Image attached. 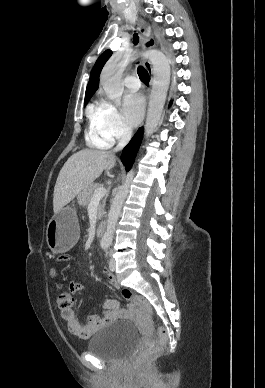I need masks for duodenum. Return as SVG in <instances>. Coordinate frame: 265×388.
Instances as JSON below:
<instances>
[{"mask_svg":"<svg viewBox=\"0 0 265 388\" xmlns=\"http://www.w3.org/2000/svg\"><path fill=\"white\" fill-rule=\"evenodd\" d=\"M106 226H107V223L106 221H101L98 226H97V229H96V235L98 237H102L105 233V230H106Z\"/></svg>","mask_w":265,"mask_h":388,"instance_id":"duodenum-1","label":"duodenum"}]
</instances>
